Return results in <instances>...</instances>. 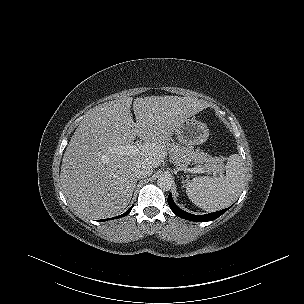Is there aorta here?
Instances as JSON below:
<instances>
[{
  "label": "aorta",
  "mask_w": 304,
  "mask_h": 304,
  "mask_svg": "<svg viewBox=\"0 0 304 304\" xmlns=\"http://www.w3.org/2000/svg\"><path fill=\"white\" fill-rule=\"evenodd\" d=\"M157 185L160 189L168 191L172 187V180L169 176L162 174L157 179Z\"/></svg>",
  "instance_id": "1"
}]
</instances>
